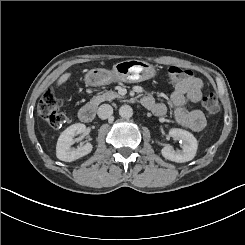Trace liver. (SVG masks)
<instances>
[{"mask_svg": "<svg viewBox=\"0 0 245 245\" xmlns=\"http://www.w3.org/2000/svg\"><path fill=\"white\" fill-rule=\"evenodd\" d=\"M76 67H77V65H74V66H73V68H76ZM70 77H71V73H69V72L63 73L61 76H59V77L57 78V80H56L55 85H54L53 88H54V89L60 88L64 83H66V82L69 80ZM41 134H42V137H43L44 139H46V137H47V132L44 131V132H42Z\"/></svg>", "mask_w": 245, "mask_h": 245, "instance_id": "liver-1", "label": "liver"}]
</instances>
